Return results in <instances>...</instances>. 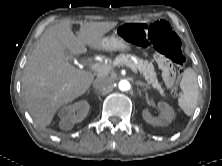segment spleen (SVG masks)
Returning <instances> with one entry per match:
<instances>
[{"mask_svg":"<svg viewBox=\"0 0 222 166\" xmlns=\"http://www.w3.org/2000/svg\"><path fill=\"white\" fill-rule=\"evenodd\" d=\"M180 88L183 94L178 99V105L187 116H191L196 108L199 95L197 77L192 68L184 71Z\"/></svg>","mask_w":222,"mask_h":166,"instance_id":"obj_1","label":"spleen"}]
</instances>
